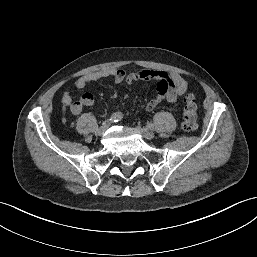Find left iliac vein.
<instances>
[{
    "label": "left iliac vein",
    "instance_id": "4c4485c4",
    "mask_svg": "<svg viewBox=\"0 0 257 257\" xmlns=\"http://www.w3.org/2000/svg\"><path fill=\"white\" fill-rule=\"evenodd\" d=\"M136 130L145 138L148 140H152L155 135L152 131L145 129V128H141L140 126L136 127Z\"/></svg>",
    "mask_w": 257,
    "mask_h": 257
}]
</instances>
